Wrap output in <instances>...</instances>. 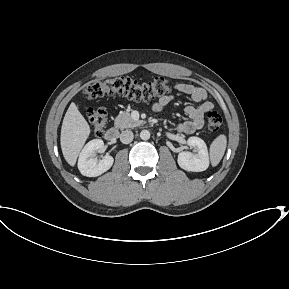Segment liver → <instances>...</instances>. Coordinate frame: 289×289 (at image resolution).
Listing matches in <instances>:
<instances>
[{
  "label": "liver",
  "instance_id": "liver-1",
  "mask_svg": "<svg viewBox=\"0 0 289 289\" xmlns=\"http://www.w3.org/2000/svg\"><path fill=\"white\" fill-rule=\"evenodd\" d=\"M90 131L89 124L72 102L64 116L60 137L62 153L69 165H75Z\"/></svg>",
  "mask_w": 289,
  "mask_h": 289
}]
</instances>
